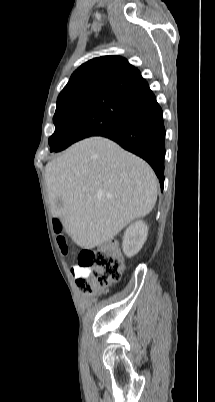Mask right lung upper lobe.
Masks as SVG:
<instances>
[{
  "mask_svg": "<svg viewBox=\"0 0 215 402\" xmlns=\"http://www.w3.org/2000/svg\"><path fill=\"white\" fill-rule=\"evenodd\" d=\"M91 93L112 94L139 104L155 97L140 71L120 56H102L82 64L58 98Z\"/></svg>",
  "mask_w": 215,
  "mask_h": 402,
  "instance_id": "1",
  "label": "right lung upper lobe"
}]
</instances>
